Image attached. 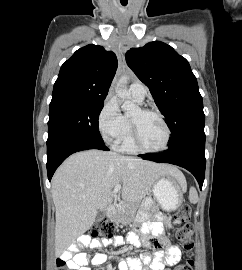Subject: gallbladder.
<instances>
[{
	"label": "gallbladder",
	"instance_id": "bac80fb5",
	"mask_svg": "<svg viewBox=\"0 0 242 270\" xmlns=\"http://www.w3.org/2000/svg\"><path fill=\"white\" fill-rule=\"evenodd\" d=\"M105 215H106L105 209H100V210L98 211L97 215H96V222H98V221L104 219Z\"/></svg>",
	"mask_w": 242,
	"mask_h": 270
}]
</instances>
